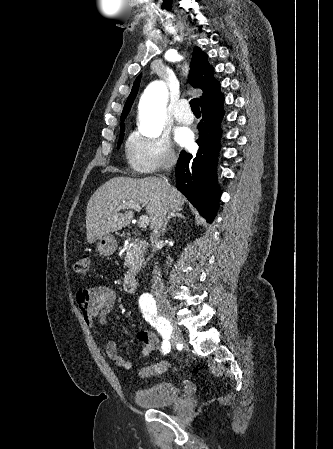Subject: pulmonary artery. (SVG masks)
Masks as SVG:
<instances>
[{
	"label": "pulmonary artery",
	"instance_id": "e3ab8cb5",
	"mask_svg": "<svg viewBox=\"0 0 333 449\" xmlns=\"http://www.w3.org/2000/svg\"><path fill=\"white\" fill-rule=\"evenodd\" d=\"M173 114L175 119L184 124H189L193 121L194 117L191 111L188 108V105L185 101H179L173 110Z\"/></svg>",
	"mask_w": 333,
	"mask_h": 449
}]
</instances>
